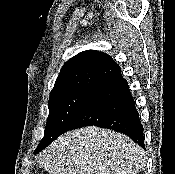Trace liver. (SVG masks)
<instances>
[{
    "instance_id": "obj_1",
    "label": "liver",
    "mask_w": 175,
    "mask_h": 174,
    "mask_svg": "<svg viewBox=\"0 0 175 174\" xmlns=\"http://www.w3.org/2000/svg\"><path fill=\"white\" fill-rule=\"evenodd\" d=\"M144 154L128 136L88 126L61 135L42 151L39 165L50 174H138Z\"/></svg>"
}]
</instances>
